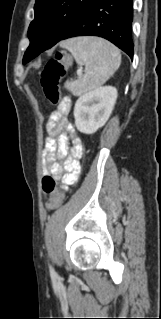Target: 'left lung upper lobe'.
<instances>
[{
  "label": "left lung upper lobe",
  "instance_id": "1",
  "mask_svg": "<svg viewBox=\"0 0 161 319\" xmlns=\"http://www.w3.org/2000/svg\"><path fill=\"white\" fill-rule=\"evenodd\" d=\"M94 1L36 0L35 18L28 29V37L32 43L23 60L38 51L36 57L59 42Z\"/></svg>",
  "mask_w": 161,
  "mask_h": 319
}]
</instances>
